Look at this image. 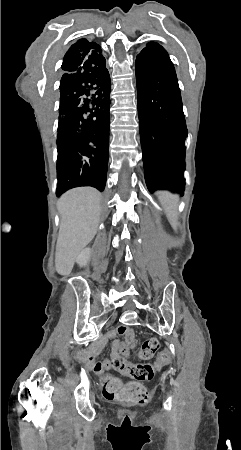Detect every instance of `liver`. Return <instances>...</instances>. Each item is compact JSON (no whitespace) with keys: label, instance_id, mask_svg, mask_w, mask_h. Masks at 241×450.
I'll return each mask as SVG.
<instances>
[{"label":"liver","instance_id":"liver-1","mask_svg":"<svg viewBox=\"0 0 241 450\" xmlns=\"http://www.w3.org/2000/svg\"><path fill=\"white\" fill-rule=\"evenodd\" d=\"M101 194L95 188H74L62 194L57 202L61 226L56 246L55 268L61 276L72 272L81 250L97 234Z\"/></svg>","mask_w":241,"mask_h":450}]
</instances>
